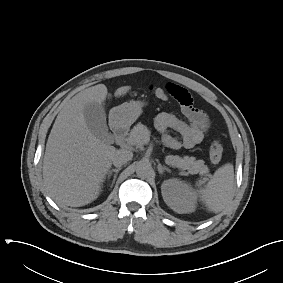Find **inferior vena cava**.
Returning a JSON list of instances; mask_svg holds the SVG:
<instances>
[{
	"label": "inferior vena cava",
	"mask_w": 283,
	"mask_h": 283,
	"mask_svg": "<svg viewBox=\"0 0 283 283\" xmlns=\"http://www.w3.org/2000/svg\"><path fill=\"white\" fill-rule=\"evenodd\" d=\"M133 157V153L131 151L125 149H119L115 152L112 157V163L115 167H121L128 161H130Z\"/></svg>",
	"instance_id": "602c4592"
}]
</instances>
